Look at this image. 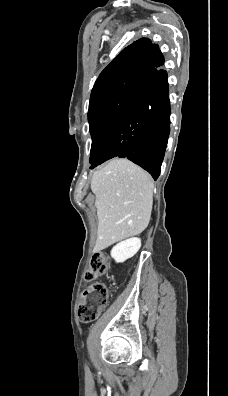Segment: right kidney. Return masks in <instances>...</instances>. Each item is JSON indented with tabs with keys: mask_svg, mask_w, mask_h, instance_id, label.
Returning a JSON list of instances; mask_svg holds the SVG:
<instances>
[{
	"mask_svg": "<svg viewBox=\"0 0 228 396\" xmlns=\"http://www.w3.org/2000/svg\"><path fill=\"white\" fill-rule=\"evenodd\" d=\"M141 247L140 238H130L118 243L111 250V256L117 263H122L133 257Z\"/></svg>",
	"mask_w": 228,
	"mask_h": 396,
	"instance_id": "1",
	"label": "right kidney"
}]
</instances>
